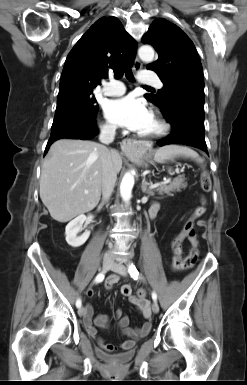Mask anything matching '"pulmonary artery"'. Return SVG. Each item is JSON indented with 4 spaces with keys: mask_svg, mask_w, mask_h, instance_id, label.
<instances>
[{
    "mask_svg": "<svg viewBox=\"0 0 247 385\" xmlns=\"http://www.w3.org/2000/svg\"><path fill=\"white\" fill-rule=\"evenodd\" d=\"M138 80L141 83L151 84L158 88L163 86L161 80L150 71H144L138 76ZM126 88L124 84L117 80H111L107 82L102 88L101 92L107 96H118L125 92Z\"/></svg>",
    "mask_w": 247,
    "mask_h": 385,
    "instance_id": "obj_1",
    "label": "pulmonary artery"
}]
</instances>
